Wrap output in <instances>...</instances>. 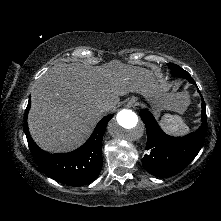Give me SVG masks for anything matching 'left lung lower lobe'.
Listing matches in <instances>:
<instances>
[{
    "label": "left lung lower lobe",
    "instance_id": "left-lung-lower-lobe-1",
    "mask_svg": "<svg viewBox=\"0 0 221 221\" xmlns=\"http://www.w3.org/2000/svg\"><path fill=\"white\" fill-rule=\"evenodd\" d=\"M186 79L196 85L190 75H187ZM140 116L146 125V150L149 151L142 159V164L154 176L164 177L179 173L189 165L203 146L207 130V115L203 98L202 124L197 131L184 137L166 135L147 110H141Z\"/></svg>",
    "mask_w": 221,
    "mask_h": 221
}]
</instances>
